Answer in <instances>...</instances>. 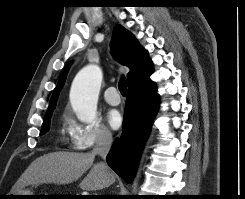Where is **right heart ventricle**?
<instances>
[{
    "label": "right heart ventricle",
    "mask_w": 245,
    "mask_h": 199,
    "mask_svg": "<svg viewBox=\"0 0 245 199\" xmlns=\"http://www.w3.org/2000/svg\"><path fill=\"white\" fill-rule=\"evenodd\" d=\"M70 119L67 116L63 118V129H69Z\"/></svg>",
    "instance_id": "e07e8e85"
}]
</instances>
